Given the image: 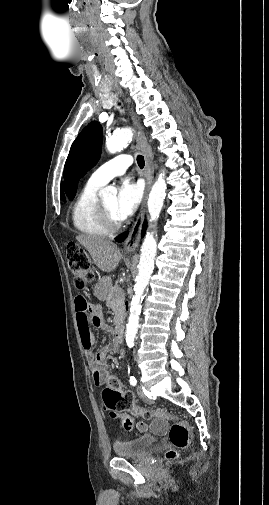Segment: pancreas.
<instances>
[{"mask_svg":"<svg viewBox=\"0 0 269 505\" xmlns=\"http://www.w3.org/2000/svg\"><path fill=\"white\" fill-rule=\"evenodd\" d=\"M106 304L111 310L114 311V323L123 322L125 315V305H124V294L120 287L114 286L110 288L107 297Z\"/></svg>","mask_w":269,"mask_h":505,"instance_id":"cf45deb5","label":"pancreas"}]
</instances>
